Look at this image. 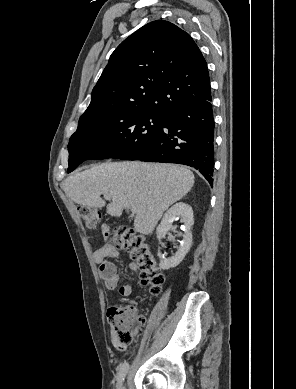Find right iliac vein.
<instances>
[{
	"instance_id": "63e3f726",
	"label": "right iliac vein",
	"mask_w": 296,
	"mask_h": 389,
	"mask_svg": "<svg viewBox=\"0 0 296 389\" xmlns=\"http://www.w3.org/2000/svg\"><path fill=\"white\" fill-rule=\"evenodd\" d=\"M119 389H125L124 385H120Z\"/></svg>"
}]
</instances>
